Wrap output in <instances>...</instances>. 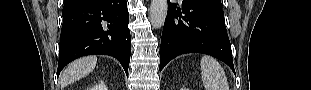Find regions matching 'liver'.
I'll list each match as a JSON object with an SVG mask.
<instances>
[{
    "instance_id": "obj_1",
    "label": "liver",
    "mask_w": 311,
    "mask_h": 90,
    "mask_svg": "<svg viewBox=\"0 0 311 90\" xmlns=\"http://www.w3.org/2000/svg\"><path fill=\"white\" fill-rule=\"evenodd\" d=\"M96 63V56H86L73 61L63 72L61 86H67L68 84L90 74L95 69Z\"/></svg>"
}]
</instances>
